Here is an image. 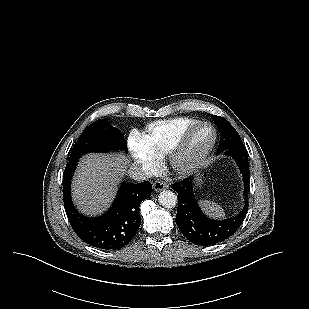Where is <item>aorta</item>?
I'll use <instances>...</instances> for the list:
<instances>
[{"label": "aorta", "mask_w": 309, "mask_h": 309, "mask_svg": "<svg viewBox=\"0 0 309 309\" xmlns=\"http://www.w3.org/2000/svg\"><path fill=\"white\" fill-rule=\"evenodd\" d=\"M158 200L160 205L165 208H173L177 204V196L170 190H163L159 196Z\"/></svg>", "instance_id": "762f6f07"}]
</instances>
